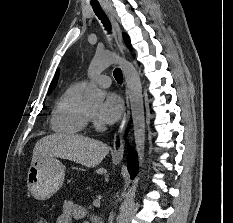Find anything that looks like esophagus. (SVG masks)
Returning <instances> with one entry per match:
<instances>
[{
    "label": "esophagus",
    "instance_id": "obj_1",
    "mask_svg": "<svg viewBox=\"0 0 233 223\" xmlns=\"http://www.w3.org/2000/svg\"><path fill=\"white\" fill-rule=\"evenodd\" d=\"M102 5L107 13L109 20L111 22V25L113 27L115 40L117 43V46L122 53L123 56H125V49L123 45V39H122V32L120 29V26L115 18V15L113 14L111 8L108 5V2L106 0H102ZM130 119V104H129V91L127 88V85L125 86V104H124V115L122 118V121L117 128L114 136V150H113V158L115 159H122L124 154V134L128 125Z\"/></svg>",
    "mask_w": 233,
    "mask_h": 223
}]
</instances>
